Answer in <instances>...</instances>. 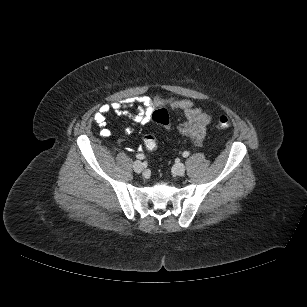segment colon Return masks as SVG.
Masks as SVG:
<instances>
[{"label": "colon", "instance_id": "5ec220e1", "mask_svg": "<svg viewBox=\"0 0 307 307\" xmlns=\"http://www.w3.org/2000/svg\"><path fill=\"white\" fill-rule=\"evenodd\" d=\"M152 120L164 127H169L171 124V118L168 111L164 108L158 109L152 113L151 116ZM217 128L225 129L230 126V119L229 117L223 115L220 116L216 123ZM142 143L145 149L148 151L155 150L158 145V140L153 134H146L142 138Z\"/></svg>", "mask_w": 307, "mask_h": 307}]
</instances>
